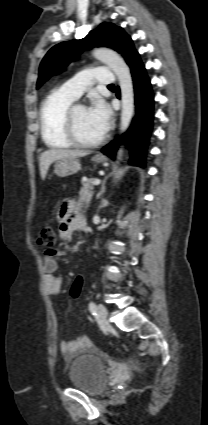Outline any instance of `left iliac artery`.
Returning <instances> with one entry per match:
<instances>
[{
    "instance_id": "1",
    "label": "left iliac artery",
    "mask_w": 208,
    "mask_h": 425,
    "mask_svg": "<svg viewBox=\"0 0 208 425\" xmlns=\"http://www.w3.org/2000/svg\"><path fill=\"white\" fill-rule=\"evenodd\" d=\"M89 310L93 315H97V307L94 302L89 303Z\"/></svg>"
}]
</instances>
